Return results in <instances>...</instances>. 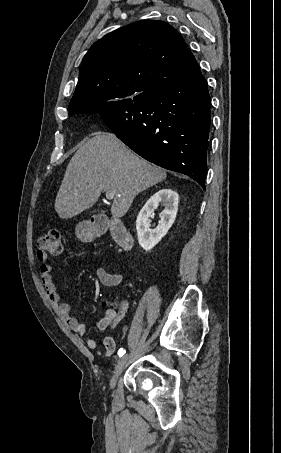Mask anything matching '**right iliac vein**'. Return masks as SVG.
Here are the masks:
<instances>
[{"label": "right iliac vein", "mask_w": 281, "mask_h": 453, "mask_svg": "<svg viewBox=\"0 0 281 453\" xmlns=\"http://www.w3.org/2000/svg\"><path fill=\"white\" fill-rule=\"evenodd\" d=\"M127 361H129V360L127 359L126 356H123V357L119 358V360H118V366H117L116 370L114 371V374H115L116 376H119V375L121 374V372L124 371V369L126 368V362H127ZM115 375L109 379V382H110V384H111L110 387H111L112 389L115 387L114 384H115L116 378H117Z\"/></svg>", "instance_id": "1"}]
</instances>
